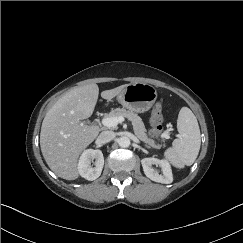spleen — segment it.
I'll use <instances>...</instances> for the list:
<instances>
[{
    "mask_svg": "<svg viewBox=\"0 0 243 243\" xmlns=\"http://www.w3.org/2000/svg\"><path fill=\"white\" fill-rule=\"evenodd\" d=\"M177 129L179 138L173 141L172 147L164 152V156L174 167L184 168L195 162L201 145L198 121L189 108H181Z\"/></svg>",
    "mask_w": 243,
    "mask_h": 243,
    "instance_id": "3e777b00",
    "label": "spleen"
}]
</instances>
